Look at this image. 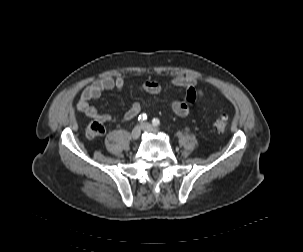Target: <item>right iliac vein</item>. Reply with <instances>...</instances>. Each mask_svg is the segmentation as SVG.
<instances>
[{"instance_id":"obj_1","label":"right iliac vein","mask_w":303,"mask_h":252,"mask_svg":"<svg viewBox=\"0 0 303 252\" xmlns=\"http://www.w3.org/2000/svg\"><path fill=\"white\" fill-rule=\"evenodd\" d=\"M141 135V128L140 126H135L131 132V138L133 140H137Z\"/></svg>"}]
</instances>
